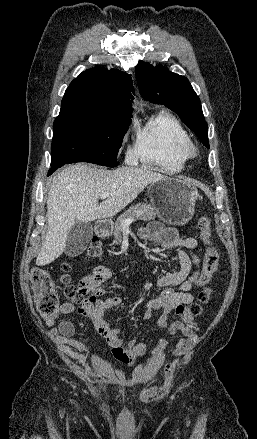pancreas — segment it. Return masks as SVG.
I'll return each instance as SVG.
<instances>
[{"label":"pancreas","mask_w":257,"mask_h":439,"mask_svg":"<svg viewBox=\"0 0 257 439\" xmlns=\"http://www.w3.org/2000/svg\"><path fill=\"white\" fill-rule=\"evenodd\" d=\"M157 215V212L153 206L149 203H141L131 206L126 212H124L121 216H119L115 222L114 229V241L113 243L119 244L122 238L123 226L122 222L128 218H132L135 220H144L148 221L154 219Z\"/></svg>","instance_id":"pancreas-1"}]
</instances>
